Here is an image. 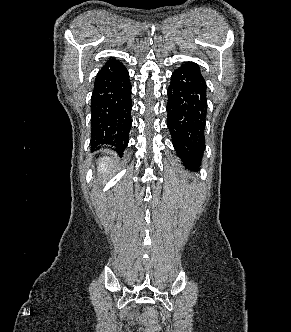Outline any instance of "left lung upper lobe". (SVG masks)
Returning a JSON list of instances; mask_svg holds the SVG:
<instances>
[{
  "label": "left lung upper lobe",
  "instance_id": "obj_1",
  "mask_svg": "<svg viewBox=\"0 0 291 332\" xmlns=\"http://www.w3.org/2000/svg\"><path fill=\"white\" fill-rule=\"evenodd\" d=\"M180 146L184 151H187V152L192 151L191 146L188 143H182V144H180Z\"/></svg>",
  "mask_w": 291,
  "mask_h": 332
}]
</instances>
